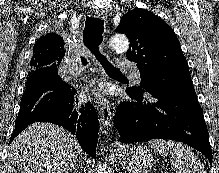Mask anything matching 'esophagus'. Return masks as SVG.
Returning a JSON list of instances; mask_svg holds the SVG:
<instances>
[{"instance_id": "1", "label": "esophagus", "mask_w": 219, "mask_h": 173, "mask_svg": "<svg viewBox=\"0 0 219 173\" xmlns=\"http://www.w3.org/2000/svg\"><path fill=\"white\" fill-rule=\"evenodd\" d=\"M94 15L100 19L106 20V12L102 9H96L93 11ZM99 113L101 116V128L110 131L113 125V112L109 102L101 98L97 100Z\"/></svg>"}]
</instances>
